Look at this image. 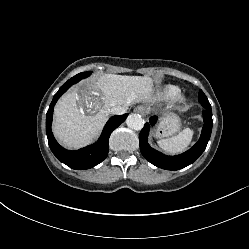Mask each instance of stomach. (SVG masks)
<instances>
[{"label":"stomach","instance_id":"0dacf381","mask_svg":"<svg viewBox=\"0 0 249 249\" xmlns=\"http://www.w3.org/2000/svg\"><path fill=\"white\" fill-rule=\"evenodd\" d=\"M180 127V118L174 113H169L162 118V121L155 128L154 136L157 138L172 136L179 132Z\"/></svg>","mask_w":249,"mask_h":249}]
</instances>
